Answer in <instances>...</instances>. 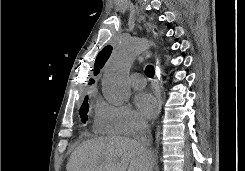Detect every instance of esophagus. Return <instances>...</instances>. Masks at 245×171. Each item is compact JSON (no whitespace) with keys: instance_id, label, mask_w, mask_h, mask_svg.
Returning a JSON list of instances; mask_svg holds the SVG:
<instances>
[{"instance_id":"obj_1","label":"esophagus","mask_w":245,"mask_h":171,"mask_svg":"<svg viewBox=\"0 0 245 171\" xmlns=\"http://www.w3.org/2000/svg\"><path fill=\"white\" fill-rule=\"evenodd\" d=\"M162 74V67L158 59L155 61V77H154V89L158 102L157 116L161 113L162 108V95H161V85H160V76Z\"/></svg>"}]
</instances>
